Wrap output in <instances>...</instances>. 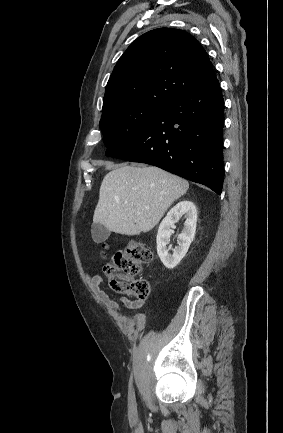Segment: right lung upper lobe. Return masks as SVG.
I'll list each match as a JSON object with an SVG mask.
<instances>
[{"instance_id": "cb5924a9", "label": "right lung upper lobe", "mask_w": 283, "mask_h": 433, "mask_svg": "<svg viewBox=\"0 0 283 433\" xmlns=\"http://www.w3.org/2000/svg\"><path fill=\"white\" fill-rule=\"evenodd\" d=\"M216 80L206 51L192 35L158 28L137 38L118 60L103 111L125 104L164 107Z\"/></svg>"}]
</instances>
